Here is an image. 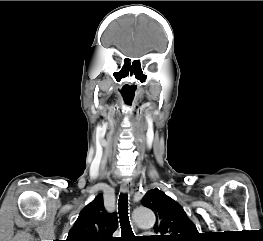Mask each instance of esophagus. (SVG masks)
I'll return each instance as SVG.
<instances>
[{
	"label": "esophagus",
	"mask_w": 263,
	"mask_h": 241,
	"mask_svg": "<svg viewBox=\"0 0 263 241\" xmlns=\"http://www.w3.org/2000/svg\"><path fill=\"white\" fill-rule=\"evenodd\" d=\"M130 185L131 184L129 183V181L123 180L121 182L120 190H121L122 194H128L129 193Z\"/></svg>",
	"instance_id": "1"
}]
</instances>
